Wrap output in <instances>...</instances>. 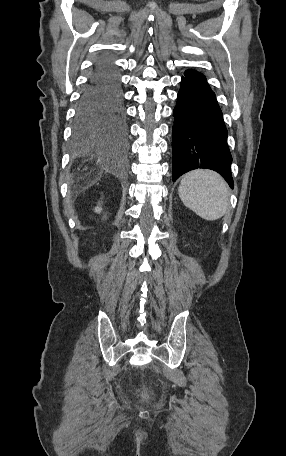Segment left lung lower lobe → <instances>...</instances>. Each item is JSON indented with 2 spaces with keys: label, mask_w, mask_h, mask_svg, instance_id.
Returning <instances> with one entry per match:
<instances>
[{
  "label": "left lung lower lobe",
  "mask_w": 286,
  "mask_h": 456,
  "mask_svg": "<svg viewBox=\"0 0 286 456\" xmlns=\"http://www.w3.org/2000/svg\"><path fill=\"white\" fill-rule=\"evenodd\" d=\"M173 116V181L190 170L206 168L220 173L233 188L228 132L204 75L194 70L184 73Z\"/></svg>",
  "instance_id": "left-lung-lower-lobe-1"
}]
</instances>
